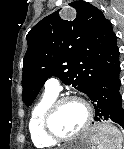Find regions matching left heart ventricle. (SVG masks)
<instances>
[{
  "label": "left heart ventricle",
  "instance_id": "b2bd125f",
  "mask_svg": "<svg viewBox=\"0 0 124 149\" xmlns=\"http://www.w3.org/2000/svg\"><path fill=\"white\" fill-rule=\"evenodd\" d=\"M87 111L85 106L78 101L62 104L53 120L54 130L62 135H71L82 128L86 121Z\"/></svg>",
  "mask_w": 124,
  "mask_h": 149
}]
</instances>
